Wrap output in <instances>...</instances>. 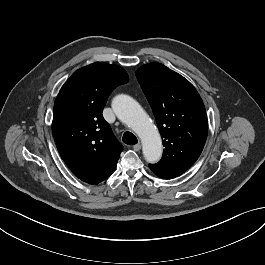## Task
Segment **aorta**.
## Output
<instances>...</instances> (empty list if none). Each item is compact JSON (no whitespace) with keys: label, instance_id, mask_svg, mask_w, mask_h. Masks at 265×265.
Instances as JSON below:
<instances>
[{"label":"aorta","instance_id":"obj_1","mask_svg":"<svg viewBox=\"0 0 265 265\" xmlns=\"http://www.w3.org/2000/svg\"><path fill=\"white\" fill-rule=\"evenodd\" d=\"M112 108L118 119L127 124L139 136L143 145V155L147 162L156 163L162 156V141L157 127L132 97L117 95Z\"/></svg>","mask_w":265,"mask_h":265}]
</instances>
